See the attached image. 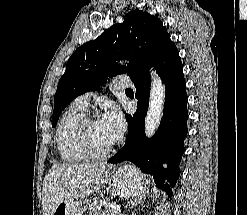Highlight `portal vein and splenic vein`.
I'll list each match as a JSON object with an SVG mask.
<instances>
[{
    "instance_id": "1",
    "label": "portal vein and splenic vein",
    "mask_w": 247,
    "mask_h": 215,
    "mask_svg": "<svg viewBox=\"0 0 247 215\" xmlns=\"http://www.w3.org/2000/svg\"><path fill=\"white\" fill-rule=\"evenodd\" d=\"M113 209L118 213V212H120V208L119 207H113Z\"/></svg>"
}]
</instances>
